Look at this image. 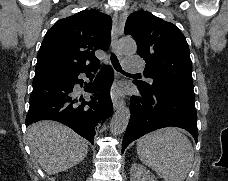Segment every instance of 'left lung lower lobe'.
<instances>
[{"instance_id": "left-lung-lower-lobe-1", "label": "left lung lower lobe", "mask_w": 228, "mask_h": 181, "mask_svg": "<svg viewBox=\"0 0 228 181\" xmlns=\"http://www.w3.org/2000/svg\"><path fill=\"white\" fill-rule=\"evenodd\" d=\"M136 79V77H133ZM141 97L130 99V121L123 137L122 152L134 140L164 127H180L197 142V112L194 91L153 79L148 85L135 80Z\"/></svg>"}]
</instances>
